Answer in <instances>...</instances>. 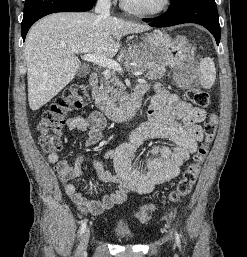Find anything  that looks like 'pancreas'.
<instances>
[{"mask_svg":"<svg viewBox=\"0 0 247 257\" xmlns=\"http://www.w3.org/2000/svg\"><path fill=\"white\" fill-rule=\"evenodd\" d=\"M133 66H128L132 70L146 71L145 77L150 80L159 79L165 73V67L157 62L145 63L141 61L137 56L132 57ZM98 90L97 104L105 108H113L116 106V102L124 101V86L122 81L118 79L114 72H109L104 75L100 80V86Z\"/></svg>","mask_w":247,"mask_h":257,"instance_id":"1","label":"pancreas"}]
</instances>
